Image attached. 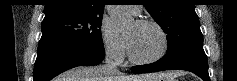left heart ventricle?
Wrapping results in <instances>:
<instances>
[{
	"label": "left heart ventricle",
	"instance_id": "left-heart-ventricle-1",
	"mask_svg": "<svg viewBox=\"0 0 237 81\" xmlns=\"http://www.w3.org/2000/svg\"><path fill=\"white\" fill-rule=\"evenodd\" d=\"M132 53L140 59L157 55L162 48V39L152 26H140L134 22L125 34Z\"/></svg>",
	"mask_w": 237,
	"mask_h": 81
}]
</instances>
